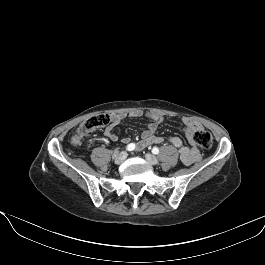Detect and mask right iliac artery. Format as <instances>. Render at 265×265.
<instances>
[{
	"mask_svg": "<svg viewBox=\"0 0 265 265\" xmlns=\"http://www.w3.org/2000/svg\"><path fill=\"white\" fill-rule=\"evenodd\" d=\"M134 149H135V144L134 143H130V144L127 145V150L128 151H132Z\"/></svg>",
	"mask_w": 265,
	"mask_h": 265,
	"instance_id": "right-iliac-artery-1",
	"label": "right iliac artery"
}]
</instances>
